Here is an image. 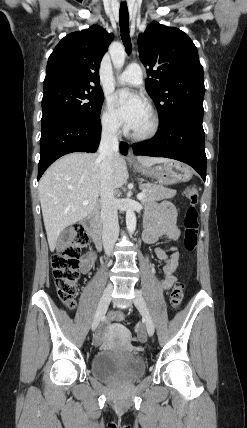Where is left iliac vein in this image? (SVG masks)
Returning a JSON list of instances; mask_svg holds the SVG:
<instances>
[{"label": "left iliac vein", "mask_w": 247, "mask_h": 428, "mask_svg": "<svg viewBox=\"0 0 247 428\" xmlns=\"http://www.w3.org/2000/svg\"><path fill=\"white\" fill-rule=\"evenodd\" d=\"M134 304L136 308L140 311V313L143 315L144 322H145L146 329L149 336H152L154 334V329H155L154 323L148 311L143 295L138 289H135Z\"/></svg>", "instance_id": "obj_1"}]
</instances>
